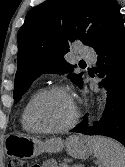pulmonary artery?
<instances>
[{"label":"pulmonary artery","instance_id":"1","mask_svg":"<svg viewBox=\"0 0 125 167\" xmlns=\"http://www.w3.org/2000/svg\"><path fill=\"white\" fill-rule=\"evenodd\" d=\"M81 56L87 60H95L96 59V55L94 54V52H92L90 49H87V48L83 49L81 51Z\"/></svg>","mask_w":125,"mask_h":167}]
</instances>
